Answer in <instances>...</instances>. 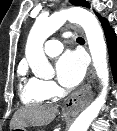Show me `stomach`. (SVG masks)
Masks as SVG:
<instances>
[{
    "mask_svg": "<svg viewBox=\"0 0 117 131\" xmlns=\"http://www.w3.org/2000/svg\"><path fill=\"white\" fill-rule=\"evenodd\" d=\"M14 130H23V131H26L24 128H15Z\"/></svg>",
    "mask_w": 117,
    "mask_h": 131,
    "instance_id": "obj_1",
    "label": "stomach"
}]
</instances>
